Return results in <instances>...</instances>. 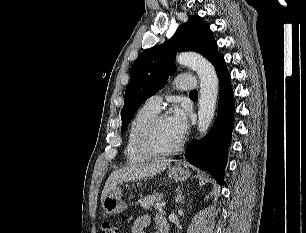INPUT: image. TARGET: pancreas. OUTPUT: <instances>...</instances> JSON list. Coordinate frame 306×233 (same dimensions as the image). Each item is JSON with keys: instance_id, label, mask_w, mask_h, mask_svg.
<instances>
[{"instance_id": "pancreas-1", "label": "pancreas", "mask_w": 306, "mask_h": 233, "mask_svg": "<svg viewBox=\"0 0 306 233\" xmlns=\"http://www.w3.org/2000/svg\"><path fill=\"white\" fill-rule=\"evenodd\" d=\"M162 196H163L162 193L149 195L138 200V204H140L144 209H150L152 206H154L157 202H159L162 199Z\"/></svg>"}]
</instances>
